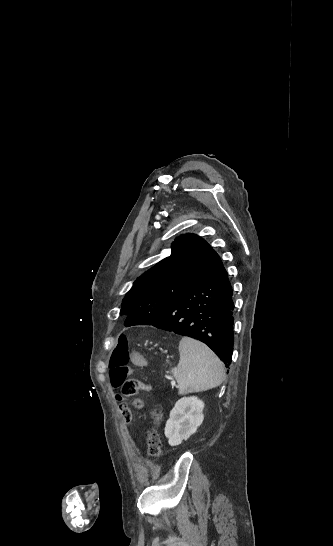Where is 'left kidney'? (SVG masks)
I'll return each mask as SVG.
<instances>
[{
	"mask_svg": "<svg viewBox=\"0 0 333 546\" xmlns=\"http://www.w3.org/2000/svg\"><path fill=\"white\" fill-rule=\"evenodd\" d=\"M203 409L204 403L195 396L183 397L176 402L165 426L169 445H179L196 432L204 420Z\"/></svg>",
	"mask_w": 333,
	"mask_h": 546,
	"instance_id": "left-kidney-1",
	"label": "left kidney"
}]
</instances>
